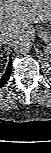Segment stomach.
Masks as SVG:
<instances>
[{
	"instance_id": "1",
	"label": "stomach",
	"mask_w": 51,
	"mask_h": 153,
	"mask_svg": "<svg viewBox=\"0 0 51 153\" xmlns=\"http://www.w3.org/2000/svg\"><path fill=\"white\" fill-rule=\"evenodd\" d=\"M38 32H39V36L42 39V41L46 45H51V29H45L41 27Z\"/></svg>"
}]
</instances>
